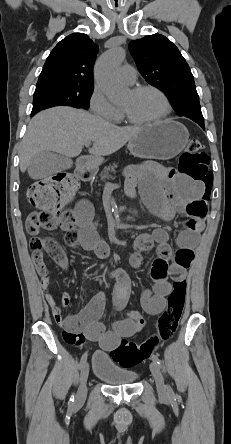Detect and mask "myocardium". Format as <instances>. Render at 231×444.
I'll use <instances>...</instances> for the list:
<instances>
[{
    "label": "myocardium",
    "mask_w": 231,
    "mask_h": 444,
    "mask_svg": "<svg viewBox=\"0 0 231 444\" xmlns=\"http://www.w3.org/2000/svg\"><path fill=\"white\" fill-rule=\"evenodd\" d=\"M144 91H153L162 98V100L165 104L164 112L159 117H157L155 119L138 121V120H135L134 118H132L123 108H121V112H122V115L125 118V120L128 123L133 124V125H154V124H158V123H161L162 121L166 120L172 111V104H171L169 97L166 95V93L164 91H162L160 88L153 86V85H140V86L132 88L130 92L132 94H139Z\"/></svg>",
    "instance_id": "f54148a6"
}]
</instances>
